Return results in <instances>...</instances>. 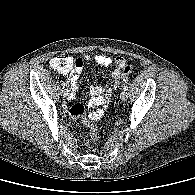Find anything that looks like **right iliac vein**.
<instances>
[{
  "instance_id": "obj_1",
  "label": "right iliac vein",
  "mask_w": 195,
  "mask_h": 195,
  "mask_svg": "<svg viewBox=\"0 0 195 195\" xmlns=\"http://www.w3.org/2000/svg\"><path fill=\"white\" fill-rule=\"evenodd\" d=\"M61 94L64 98H66L68 96V90L67 89H62L61 90Z\"/></svg>"
}]
</instances>
